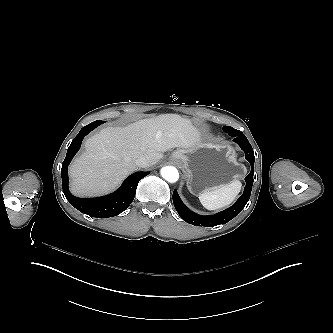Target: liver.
<instances>
[{"mask_svg": "<svg viewBox=\"0 0 333 333\" xmlns=\"http://www.w3.org/2000/svg\"><path fill=\"white\" fill-rule=\"evenodd\" d=\"M201 142L189 121L175 114L142 120L127 128L103 129L86 141V153L72 165L73 189L83 195L108 192L137 169L138 157L145 155L154 165L170 149H194Z\"/></svg>", "mask_w": 333, "mask_h": 333, "instance_id": "1", "label": "liver"}]
</instances>
